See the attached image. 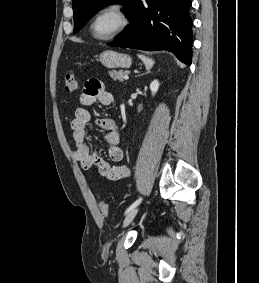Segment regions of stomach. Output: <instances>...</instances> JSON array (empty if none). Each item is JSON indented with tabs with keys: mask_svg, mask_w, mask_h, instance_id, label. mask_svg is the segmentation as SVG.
<instances>
[{
	"mask_svg": "<svg viewBox=\"0 0 259 283\" xmlns=\"http://www.w3.org/2000/svg\"><path fill=\"white\" fill-rule=\"evenodd\" d=\"M100 62L108 68L130 67L132 59L129 55L107 50L100 54Z\"/></svg>",
	"mask_w": 259,
	"mask_h": 283,
	"instance_id": "obj_1",
	"label": "stomach"
}]
</instances>
